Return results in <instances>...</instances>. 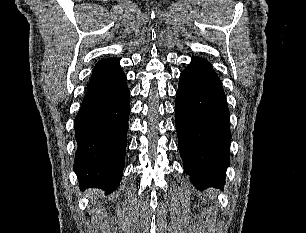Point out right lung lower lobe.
Returning a JSON list of instances; mask_svg holds the SVG:
<instances>
[{"instance_id": "1", "label": "right lung lower lobe", "mask_w": 306, "mask_h": 233, "mask_svg": "<svg viewBox=\"0 0 306 233\" xmlns=\"http://www.w3.org/2000/svg\"><path fill=\"white\" fill-rule=\"evenodd\" d=\"M129 95L123 70L88 87L74 124V171L81 189L111 192L118 187L125 163Z\"/></svg>"}]
</instances>
